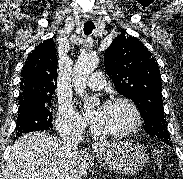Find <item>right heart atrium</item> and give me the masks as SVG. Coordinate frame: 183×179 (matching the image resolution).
<instances>
[{"instance_id":"d8ad5b80","label":"right heart atrium","mask_w":183,"mask_h":179,"mask_svg":"<svg viewBox=\"0 0 183 179\" xmlns=\"http://www.w3.org/2000/svg\"><path fill=\"white\" fill-rule=\"evenodd\" d=\"M56 125L63 135L82 134L85 130L81 116L66 102L60 104Z\"/></svg>"}]
</instances>
